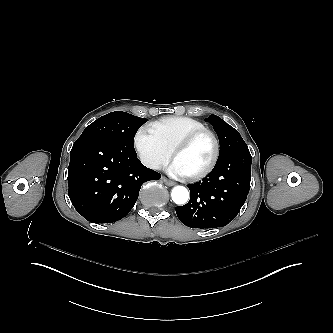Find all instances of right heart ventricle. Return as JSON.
<instances>
[{
  "label": "right heart ventricle",
  "mask_w": 333,
  "mask_h": 333,
  "mask_svg": "<svg viewBox=\"0 0 333 333\" xmlns=\"http://www.w3.org/2000/svg\"><path fill=\"white\" fill-rule=\"evenodd\" d=\"M144 128L147 136L155 138L171 150L185 135L206 127L200 121L189 117L168 116L151 122Z\"/></svg>",
  "instance_id": "1"
}]
</instances>
